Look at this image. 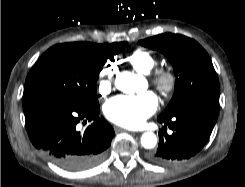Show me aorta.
<instances>
[{
    "label": "aorta",
    "instance_id": "762f6f07",
    "mask_svg": "<svg viewBox=\"0 0 245 187\" xmlns=\"http://www.w3.org/2000/svg\"><path fill=\"white\" fill-rule=\"evenodd\" d=\"M139 81V77L123 71L117 74L115 79V86L118 90L125 93H131L135 90V85ZM157 144V137L152 132H146L141 137V145L146 149H152Z\"/></svg>",
    "mask_w": 245,
    "mask_h": 187
}]
</instances>
